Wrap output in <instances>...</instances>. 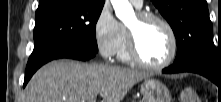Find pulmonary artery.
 Here are the masks:
<instances>
[{
    "label": "pulmonary artery",
    "mask_w": 221,
    "mask_h": 102,
    "mask_svg": "<svg viewBox=\"0 0 221 102\" xmlns=\"http://www.w3.org/2000/svg\"><path fill=\"white\" fill-rule=\"evenodd\" d=\"M136 7L140 8L143 4V0H130Z\"/></svg>",
    "instance_id": "1"
}]
</instances>
